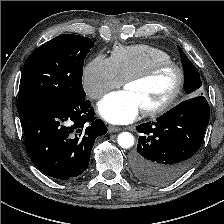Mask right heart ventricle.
I'll use <instances>...</instances> for the list:
<instances>
[{
  "instance_id": "1",
  "label": "right heart ventricle",
  "mask_w": 224,
  "mask_h": 224,
  "mask_svg": "<svg viewBox=\"0 0 224 224\" xmlns=\"http://www.w3.org/2000/svg\"><path fill=\"white\" fill-rule=\"evenodd\" d=\"M110 59L122 81L145 70L154 63L172 60L170 54L166 51L144 44L116 46Z\"/></svg>"
}]
</instances>
